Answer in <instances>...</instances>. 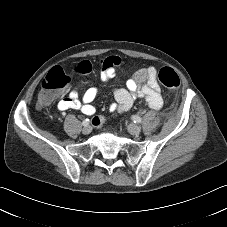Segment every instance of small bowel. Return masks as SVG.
Here are the masks:
<instances>
[{
	"instance_id": "obj_1",
	"label": "small bowel",
	"mask_w": 227,
	"mask_h": 227,
	"mask_svg": "<svg viewBox=\"0 0 227 227\" xmlns=\"http://www.w3.org/2000/svg\"><path fill=\"white\" fill-rule=\"evenodd\" d=\"M119 64L120 59L116 56L102 58L99 61L101 81L108 82L112 79ZM88 85L89 82L87 81L77 83L68 96L58 102V110L79 109L87 116L94 115L96 109L92 103L98 95V88L95 86L88 87L81 99L79 98L80 89ZM113 94L115 101L109 105V111L114 113L128 111L136 98H144L146 104L154 110H159L163 105L154 67L137 71L134 77L127 80L126 88H114Z\"/></svg>"
}]
</instances>
